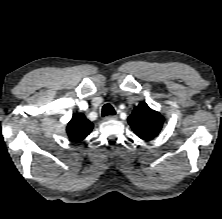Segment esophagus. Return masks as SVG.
Masks as SVG:
<instances>
[{
	"label": "esophagus",
	"instance_id": "obj_1",
	"mask_svg": "<svg viewBox=\"0 0 222 219\" xmlns=\"http://www.w3.org/2000/svg\"><path fill=\"white\" fill-rule=\"evenodd\" d=\"M117 119V116L116 115H109V116H106L104 118V120L108 121V120H116Z\"/></svg>",
	"mask_w": 222,
	"mask_h": 219
}]
</instances>
